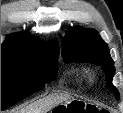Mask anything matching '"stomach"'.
I'll list each match as a JSON object with an SVG mask.
<instances>
[{"label":"stomach","mask_w":123,"mask_h":113,"mask_svg":"<svg viewBox=\"0 0 123 113\" xmlns=\"http://www.w3.org/2000/svg\"><path fill=\"white\" fill-rule=\"evenodd\" d=\"M87 104L82 100L73 99L65 103L58 104L53 107V112H81L86 110Z\"/></svg>","instance_id":"stomach-1"}]
</instances>
